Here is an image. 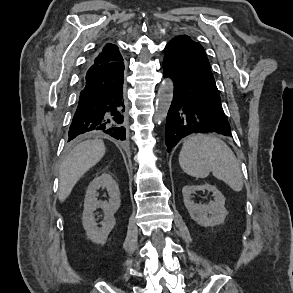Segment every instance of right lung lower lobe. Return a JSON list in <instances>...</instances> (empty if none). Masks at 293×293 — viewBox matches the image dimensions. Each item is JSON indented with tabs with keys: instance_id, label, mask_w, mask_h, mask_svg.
<instances>
[{
	"instance_id": "right-lung-lower-lobe-1",
	"label": "right lung lower lobe",
	"mask_w": 293,
	"mask_h": 293,
	"mask_svg": "<svg viewBox=\"0 0 293 293\" xmlns=\"http://www.w3.org/2000/svg\"><path fill=\"white\" fill-rule=\"evenodd\" d=\"M124 63L89 66L83 78L68 141L81 134H106L125 140Z\"/></svg>"
}]
</instances>
